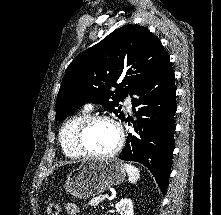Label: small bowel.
<instances>
[{
	"label": "small bowel",
	"instance_id": "obj_1",
	"mask_svg": "<svg viewBox=\"0 0 221 215\" xmlns=\"http://www.w3.org/2000/svg\"><path fill=\"white\" fill-rule=\"evenodd\" d=\"M64 209L67 215H80L79 208L73 203H67Z\"/></svg>",
	"mask_w": 221,
	"mask_h": 215
}]
</instances>
